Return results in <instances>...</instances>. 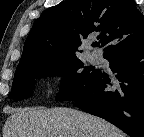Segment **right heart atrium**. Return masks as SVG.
I'll list each match as a JSON object with an SVG mask.
<instances>
[{
	"mask_svg": "<svg viewBox=\"0 0 144 137\" xmlns=\"http://www.w3.org/2000/svg\"><path fill=\"white\" fill-rule=\"evenodd\" d=\"M65 79H66L65 72L59 71L53 76L51 82L53 86L58 87V86H61L65 82Z\"/></svg>",
	"mask_w": 144,
	"mask_h": 137,
	"instance_id": "d8ad5b80",
	"label": "right heart atrium"
}]
</instances>
